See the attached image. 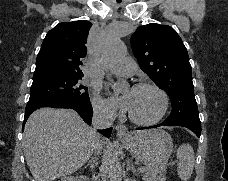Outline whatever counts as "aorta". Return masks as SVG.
<instances>
[{
    "instance_id": "762f6f07",
    "label": "aorta",
    "mask_w": 228,
    "mask_h": 181,
    "mask_svg": "<svg viewBox=\"0 0 228 181\" xmlns=\"http://www.w3.org/2000/svg\"><path fill=\"white\" fill-rule=\"evenodd\" d=\"M127 49L125 44L116 36H110L106 40L105 46L102 51V62L106 68L113 67L119 62L125 55ZM125 82H115L113 88L115 91H119L126 87ZM108 176L110 181H121L122 170L119 165L118 159L114 153H110L108 157L107 166Z\"/></svg>"
}]
</instances>
